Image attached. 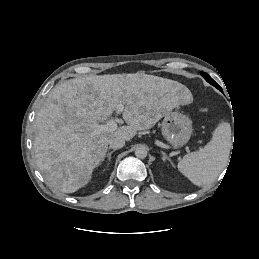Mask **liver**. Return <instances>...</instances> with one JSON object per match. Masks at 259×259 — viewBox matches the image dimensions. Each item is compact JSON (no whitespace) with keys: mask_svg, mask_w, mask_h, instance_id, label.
<instances>
[{"mask_svg":"<svg viewBox=\"0 0 259 259\" xmlns=\"http://www.w3.org/2000/svg\"><path fill=\"white\" fill-rule=\"evenodd\" d=\"M171 79L141 73L77 77L56 85L34 120L33 149L46 182L63 193L84 187L104 160L109 141H130L165 114L192 102L190 92ZM124 105L127 123L113 132L93 133Z\"/></svg>","mask_w":259,"mask_h":259,"instance_id":"obj_1","label":"liver"}]
</instances>
